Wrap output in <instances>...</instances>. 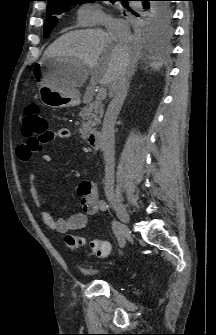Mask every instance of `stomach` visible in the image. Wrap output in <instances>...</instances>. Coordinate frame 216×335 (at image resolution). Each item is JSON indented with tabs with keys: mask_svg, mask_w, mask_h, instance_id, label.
Wrapping results in <instances>:
<instances>
[{
	"mask_svg": "<svg viewBox=\"0 0 216 335\" xmlns=\"http://www.w3.org/2000/svg\"><path fill=\"white\" fill-rule=\"evenodd\" d=\"M74 66L72 59H42L33 69L34 77L39 82V97L42 103L51 108L73 107L80 103L76 90L68 88L65 76Z\"/></svg>",
	"mask_w": 216,
	"mask_h": 335,
	"instance_id": "0dacf381",
	"label": "stomach"
}]
</instances>
